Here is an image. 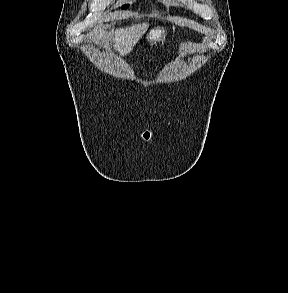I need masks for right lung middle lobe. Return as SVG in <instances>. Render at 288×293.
I'll list each match as a JSON object with an SVG mask.
<instances>
[{"label": "right lung middle lobe", "instance_id": "obj_1", "mask_svg": "<svg viewBox=\"0 0 288 293\" xmlns=\"http://www.w3.org/2000/svg\"><path fill=\"white\" fill-rule=\"evenodd\" d=\"M128 8V5H124L123 7H122V9H127Z\"/></svg>", "mask_w": 288, "mask_h": 293}]
</instances>
